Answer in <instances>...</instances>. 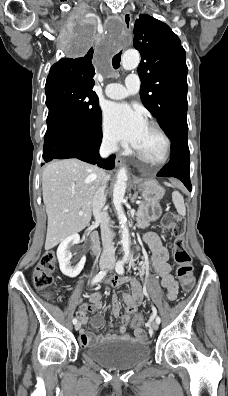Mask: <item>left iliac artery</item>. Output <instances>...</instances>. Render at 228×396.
<instances>
[{
    "label": "left iliac artery",
    "mask_w": 228,
    "mask_h": 396,
    "mask_svg": "<svg viewBox=\"0 0 228 396\" xmlns=\"http://www.w3.org/2000/svg\"><path fill=\"white\" fill-rule=\"evenodd\" d=\"M128 256H129V252L126 251V252H125V256L123 257V259L120 260V261H118V262L116 263L115 269H116V272H117L118 274H123V273H124V264L127 262ZM156 322H157L158 324L161 322V319H160L159 316L156 317Z\"/></svg>",
    "instance_id": "1"
}]
</instances>
